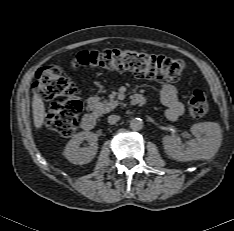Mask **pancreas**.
<instances>
[{
	"label": "pancreas",
	"mask_w": 234,
	"mask_h": 231,
	"mask_svg": "<svg viewBox=\"0 0 234 231\" xmlns=\"http://www.w3.org/2000/svg\"><path fill=\"white\" fill-rule=\"evenodd\" d=\"M100 97L92 96L88 99V107L97 115H102L110 112L118 105V101L110 100L101 102Z\"/></svg>",
	"instance_id": "pancreas-1"
}]
</instances>
